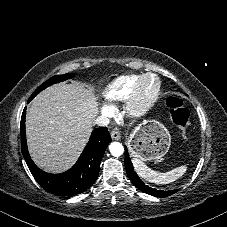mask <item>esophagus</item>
<instances>
[{"mask_svg": "<svg viewBox=\"0 0 227 227\" xmlns=\"http://www.w3.org/2000/svg\"><path fill=\"white\" fill-rule=\"evenodd\" d=\"M120 133L118 132V130L115 128L111 131V138L113 140H119L120 139Z\"/></svg>", "mask_w": 227, "mask_h": 227, "instance_id": "obj_1", "label": "esophagus"}]
</instances>
